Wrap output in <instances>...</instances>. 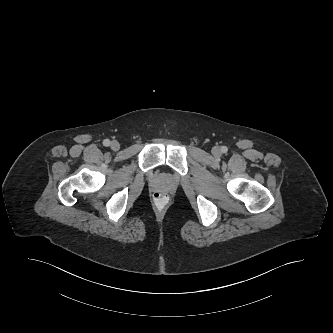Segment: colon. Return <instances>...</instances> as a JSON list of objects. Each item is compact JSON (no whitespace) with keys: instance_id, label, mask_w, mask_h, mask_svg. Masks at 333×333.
I'll list each match as a JSON object with an SVG mask.
<instances>
[{"instance_id":"obj_1","label":"colon","mask_w":333,"mask_h":333,"mask_svg":"<svg viewBox=\"0 0 333 333\" xmlns=\"http://www.w3.org/2000/svg\"><path fill=\"white\" fill-rule=\"evenodd\" d=\"M154 199L157 202H164L168 199V195L163 192H158L154 194Z\"/></svg>"}]
</instances>
